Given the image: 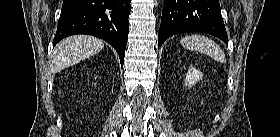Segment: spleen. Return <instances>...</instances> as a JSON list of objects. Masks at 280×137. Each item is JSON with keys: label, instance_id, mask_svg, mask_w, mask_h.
<instances>
[{"label": "spleen", "instance_id": "3e777b00", "mask_svg": "<svg viewBox=\"0 0 280 137\" xmlns=\"http://www.w3.org/2000/svg\"><path fill=\"white\" fill-rule=\"evenodd\" d=\"M180 43L183 47L204 53L220 63L226 62L225 54L219 45L206 36L189 35L182 38Z\"/></svg>", "mask_w": 280, "mask_h": 137}]
</instances>
